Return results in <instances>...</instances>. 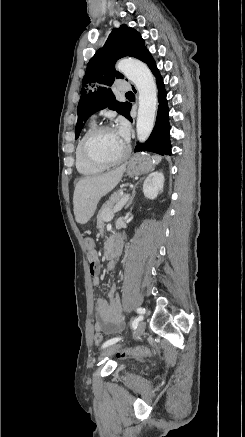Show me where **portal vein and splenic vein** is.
<instances>
[{
	"instance_id": "obj_1",
	"label": "portal vein and splenic vein",
	"mask_w": 245,
	"mask_h": 437,
	"mask_svg": "<svg viewBox=\"0 0 245 437\" xmlns=\"http://www.w3.org/2000/svg\"><path fill=\"white\" fill-rule=\"evenodd\" d=\"M130 194H124L123 198L121 199V201L114 207L113 211L107 215L106 219L107 221L111 220L114 216V213L120 211L123 206L126 204V202L129 199Z\"/></svg>"
}]
</instances>
